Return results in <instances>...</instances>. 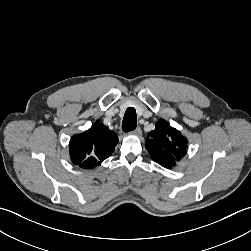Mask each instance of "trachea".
Segmentation results:
<instances>
[{"instance_id":"3493384b","label":"trachea","mask_w":251,"mask_h":251,"mask_svg":"<svg viewBox=\"0 0 251 251\" xmlns=\"http://www.w3.org/2000/svg\"><path fill=\"white\" fill-rule=\"evenodd\" d=\"M137 125L136 111L133 107H129L124 115L122 122V130L124 132H130L135 130Z\"/></svg>"}]
</instances>
